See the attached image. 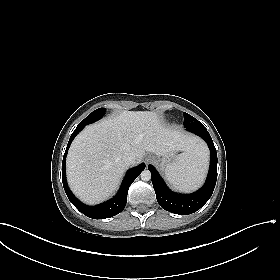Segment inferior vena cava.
<instances>
[{
  "instance_id": "602c4592",
  "label": "inferior vena cava",
  "mask_w": 280,
  "mask_h": 280,
  "mask_svg": "<svg viewBox=\"0 0 280 280\" xmlns=\"http://www.w3.org/2000/svg\"><path fill=\"white\" fill-rule=\"evenodd\" d=\"M122 160L127 166H129L135 162V156L128 153L123 156Z\"/></svg>"
}]
</instances>
